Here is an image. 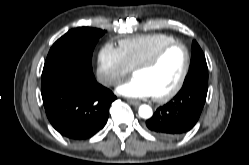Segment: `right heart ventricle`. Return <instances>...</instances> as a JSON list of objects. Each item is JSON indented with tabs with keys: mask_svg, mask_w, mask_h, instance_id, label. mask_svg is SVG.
Returning <instances> with one entry per match:
<instances>
[{
	"mask_svg": "<svg viewBox=\"0 0 249 165\" xmlns=\"http://www.w3.org/2000/svg\"><path fill=\"white\" fill-rule=\"evenodd\" d=\"M173 41L175 39L167 34L150 33L119 41V49L127 65L134 69L152 57L160 47Z\"/></svg>",
	"mask_w": 249,
	"mask_h": 165,
	"instance_id": "obj_1",
	"label": "right heart ventricle"
}]
</instances>
